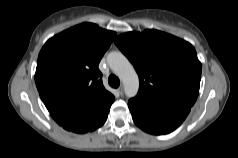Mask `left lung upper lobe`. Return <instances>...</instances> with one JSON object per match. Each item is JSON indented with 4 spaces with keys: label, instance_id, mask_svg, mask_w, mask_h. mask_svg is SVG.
<instances>
[{
    "label": "left lung upper lobe",
    "instance_id": "1",
    "mask_svg": "<svg viewBox=\"0 0 238 158\" xmlns=\"http://www.w3.org/2000/svg\"><path fill=\"white\" fill-rule=\"evenodd\" d=\"M115 44L139 75V91L132 100L148 108L194 105L201 63L190 43L158 30H145L122 34Z\"/></svg>",
    "mask_w": 238,
    "mask_h": 158
}]
</instances>
